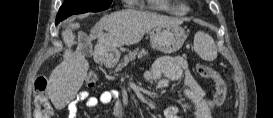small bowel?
<instances>
[{"label":"small bowel","mask_w":273,"mask_h":118,"mask_svg":"<svg viewBox=\"0 0 273 118\" xmlns=\"http://www.w3.org/2000/svg\"><path fill=\"white\" fill-rule=\"evenodd\" d=\"M145 80L149 84H155L158 88H163L169 82L184 83L183 96L192 104L196 118H212L214 111L213 102L207 97L204 89L195 80L189 70L187 61L182 57H160L145 75ZM116 100V117L123 116V100L119 93L112 90H104L98 95H90L88 92H81L67 105L69 118L77 117V104L84 101L86 107L96 108L103 104H108ZM180 111L177 107H168L163 112L164 118H179Z\"/></svg>","instance_id":"obj_1"}]
</instances>
